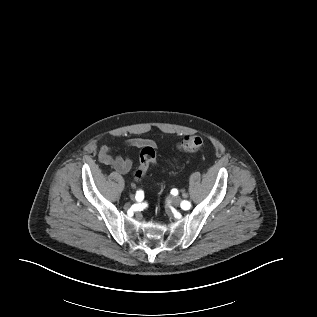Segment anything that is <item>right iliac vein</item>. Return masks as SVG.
Wrapping results in <instances>:
<instances>
[{
  "instance_id": "right-iliac-vein-1",
  "label": "right iliac vein",
  "mask_w": 317,
  "mask_h": 317,
  "mask_svg": "<svg viewBox=\"0 0 317 317\" xmlns=\"http://www.w3.org/2000/svg\"><path fill=\"white\" fill-rule=\"evenodd\" d=\"M130 198H131L132 200H134V196L131 195Z\"/></svg>"
}]
</instances>
